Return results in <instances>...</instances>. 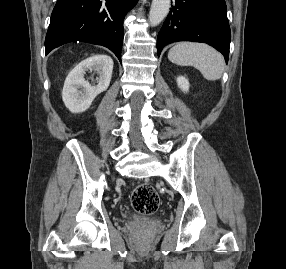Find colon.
I'll return each mask as SVG.
<instances>
[{
    "mask_svg": "<svg viewBox=\"0 0 286 269\" xmlns=\"http://www.w3.org/2000/svg\"><path fill=\"white\" fill-rule=\"evenodd\" d=\"M131 204L139 214L149 215L159 208L160 198L151 185L144 183L134 189Z\"/></svg>",
    "mask_w": 286,
    "mask_h": 269,
    "instance_id": "obj_1",
    "label": "colon"
}]
</instances>
